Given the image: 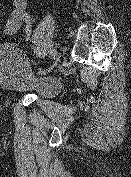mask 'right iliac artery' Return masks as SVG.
Here are the masks:
<instances>
[{"instance_id":"82829eb1","label":"right iliac artery","mask_w":131,"mask_h":177,"mask_svg":"<svg viewBox=\"0 0 131 177\" xmlns=\"http://www.w3.org/2000/svg\"><path fill=\"white\" fill-rule=\"evenodd\" d=\"M49 57L50 58H55L56 57V50L52 49L49 51ZM46 63H49V60H46Z\"/></svg>"}]
</instances>
